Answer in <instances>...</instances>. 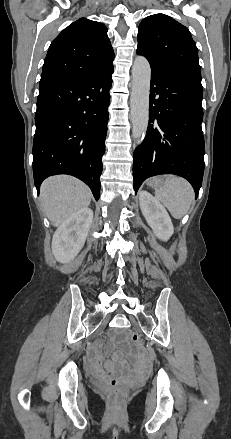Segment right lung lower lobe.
<instances>
[{"instance_id": "98d812e1", "label": "right lung lower lobe", "mask_w": 231, "mask_h": 439, "mask_svg": "<svg viewBox=\"0 0 231 439\" xmlns=\"http://www.w3.org/2000/svg\"><path fill=\"white\" fill-rule=\"evenodd\" d=\"M113 64L80 81L40 88L35 115L33 174L42 181L69 174L99 199Z\"/></svg>"}]
</instances>
